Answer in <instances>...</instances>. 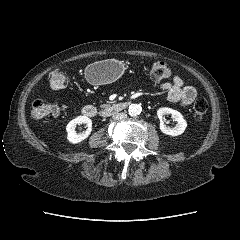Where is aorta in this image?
Segmentation results:
<instances>
[{"mask_svg":"<svg viewBox=\"0 0 240 240\" xmlns=\"http://www.w3.org/2000/svg\"><path fill=\"white\" fill-rule=\"evenodd\" d=\"M130 116L140 115L142 112V107L139 104H131L128 109Z\"/></svg>","mask_w":240,"mask_h":240,"instance_id":"1","label":"aorta"}]
</instances>
